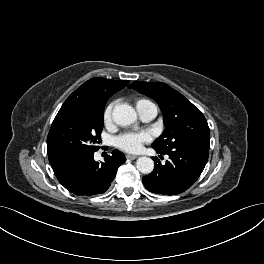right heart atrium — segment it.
Here are the masks:
<instances>
[{
    "mask_svg": "<svg viewBox=\"0 0 264 264\" xmlns=\"http://www.w3.org/2000/svg\"><path fill=\"white\" fill-rule=\"evenodd\" d=\"M114 103H109L103 111V122L106 126L110 125L112 122V112H113Z\"/></svg>",
    "mask_w": 264,
    "mask_h": 264,
    "instance_id": "right-heart-atrium-1",
    "label": "right heart atrium"
}]
</instances>
